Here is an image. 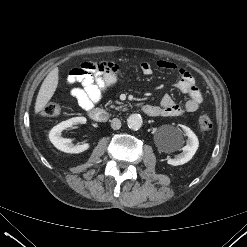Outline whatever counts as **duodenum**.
<instances>
[{"label": "duodenum", "instance_id": "1", "mask_svg": "<svg viewBox=\"0 0 247 247\" xmlns=\"http://www.w3.org/2000/svg\"><path fill=\"white\" fill-rule=\"evenodd\" d=\"M142 111L148 116H154V114L156 113V110L152 105H144L142 107ZM89 116L92 120L99 123H104L109 118L108 112L101 108L91 109L89 111Z\"/></svg>", "mask_w": 247, "mask_h": 247}]
</instances>
